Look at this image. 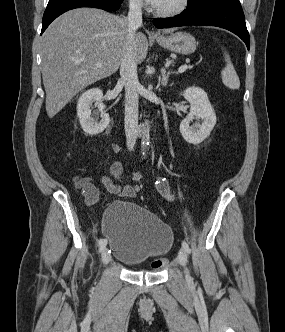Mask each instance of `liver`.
Here are the masks:
<instances>
[{
    "label": "liver",
    "instance_id": "liver-1",
    "mask_svg": "<svg viewBox=\"0 0 285 332\" xmlns=\"http://www.w3.org/2000/svg\"><path fill=\"white\" fill-rule=\"evenodd\" d=\"M173 29H164L170 33ZM128 48L127 19L101 9L78 8L55 19L41 39L42 79L49 118L81 90L115 73ZM148 41L135 34L136 63L145 60ZM101 64V67H96Z\"/></svg>",
    "mask_w": 285,
    "mask_h": 332
}]
</instances>
